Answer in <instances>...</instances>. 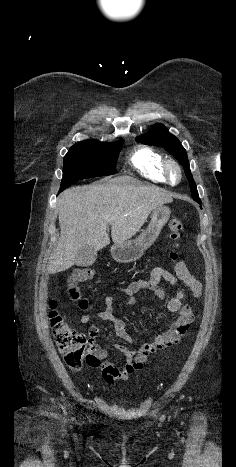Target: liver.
<instances>
[{
    "instance_id": "1",
    "label": "liver",
    "mask_w": 236,
    "mask_h": 467,
    "mask_svg": "<svg viewBox=\"0 0 236 467\" xmlns=\"http://www.w3.org/2000/svg\"><path fill=\"white\" fill-rule=\"evenodd\" d=\"M172 201L168 191L128 176L65 190L58 198L60 238L49 259L48 272L71 268L84 246L98 251L109 245V225L115 244L129 240L153 209Z\"/></svg>"
}]
</instances>
